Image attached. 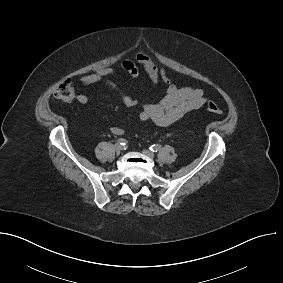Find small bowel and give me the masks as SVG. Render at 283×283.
I'll return each mask as SVG.
<instances>
[{"mask_svg":"<svg viewBox=\"0 0 283 283\" xmlns=\"http://www.w3.org/2000/svg\"><path fill=\"white\" fill-rule=\"evenodd\" d=\"M120 64L122 69L134 80L139 78L141 68L153 84L162 81L167 85L165 95L160 101L143 102L141 104L139 119L142 121H152L156 125L168 127L178 122L189 112L199 109L206 102L203 90L191 87H177L166 69L154 57L144 52L137 53L134 60L124 58ZM113 73V68L101 67L93 73L81 76L79 81L85 86L105 83L118 93L125 106H136L138 100L123 93L110 78ZM76 100L80 104H86L88 98L84 94H79ZM111 132L114 135H122L125 128L113 126Z\"/></svg>","mask_w":283,"mask_h":283,"instance_id":"c3829d8e","label":"small bowel"}]
</instances>
